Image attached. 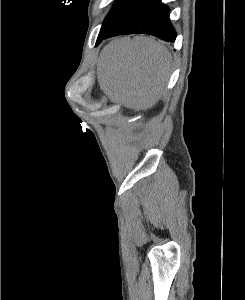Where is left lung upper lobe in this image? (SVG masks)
<instances>
[{
    "label": "left lung upper lobe",
    "instance_id": "left-lung-upper-lobe-1",
    "mask_svg": "<svg viewBox=\"0 0 245 300\" xmlns=\"http://www.w3.org/2000/svg\"><path fill=\"white\" fill-rule=\"evenodd\" d=\"M143 1L145 0H117L106 16L99 34L107 32L121 17Z\"/></svg>",
    "mask_w": 245,
    "mask_h": 300
}]
</instances>
